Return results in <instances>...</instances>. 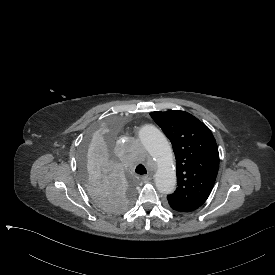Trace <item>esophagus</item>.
Listing matches in <instances>:
<instances>
[{
	"instance_id": "obj_1",
	"label": "esophagus",
	"mask_w": 275,
	"mask_h": 275,
	"mask_svg": "<svg viewBox=\"0 0 275 275\" xmlns=\"http://www.w3.org/2000/svg\"><path fill=\"white\" fill-rule=\"evenodd\" d=\"M141 179L144 181V182H148L151 180V177L150 176H143L141 177Z\"/></svg>"
}]
</instances>
